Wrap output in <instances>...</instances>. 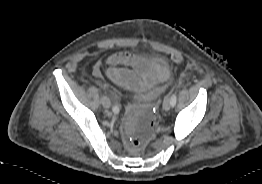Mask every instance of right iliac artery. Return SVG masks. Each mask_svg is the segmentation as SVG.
<instances>
[{
	"label": "right iliac artery",
	"instance_id": "right-iliac-artery-1",
	"mask_svg": "<svg viewBox=\"0 0 262 184\" xmlns=\"http://www.w3.org/2000/svg\"><path fill=\"white\" fill-rule=\"evenodd\" d=\"M112 110L115 114L119 113V108L117 106H114Z\"/></svg>",
	"mask_w": 262,
	"mask_h": 184
}]
</instances>
